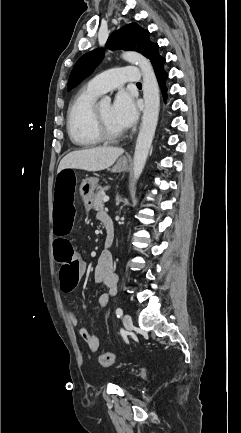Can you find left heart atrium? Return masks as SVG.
<instances>
[{"label":"left heart atrium","mask_w":241,"mask_h":433,"mask_svg":"<svg viewBox=\"0 0 241 433\" xmlns=\"http://www.w3.org/2000/svg\"><path fill=\"white\" fill-rule=\"evenodd\" d=\"M112 117L122 131L134 125L138 117V110L131 96L125 92L116 96L112 105Z\"/></svg>","instance_id":"left-heart-atrium-1"}]
</instances>
